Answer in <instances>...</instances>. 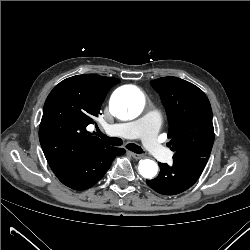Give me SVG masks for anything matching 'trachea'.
<instances>
[{"label": "trachea", "instance_id": "1", "mask_svg": "<svg viewBox=\"0 0 250 250\" xmlns=\"http://www.w3.org/2000/svg\"><path fill=\"white\" fill-rule=\"evenodd\" d=\"M102 140H104L107 144L112 145V146H121L123 144V141L120 138H112L108 137L105 134H103L100 130L97 131L96 133ZM126 148L134 153L141 154L144 151L141 149L140 146L129 143L126 145Z\"/></svg>", "mask_w": 250, "mask_h": 250}]
</instances>
